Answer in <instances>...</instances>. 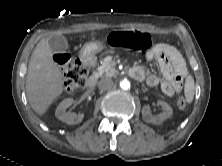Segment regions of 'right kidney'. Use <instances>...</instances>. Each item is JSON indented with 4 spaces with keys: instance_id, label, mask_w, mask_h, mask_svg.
Listing matches in <instances>:
<instances>
[{
    "instance_id": "ca27d5eb",
    "label": "right kidney",
    "mask_w": 222,
    "mask_h": 166,
    "mask_svg": "<svg viewBox=\"0 0 222 166\" xmlns=\"http://www.w3.org/2000/svg\"><path fill=\"white\" fill-rule=\"evenodd\" d=\"M73 103H74L73 98H66L58 105L55 111V116L59 120L69 125L78 124L82 122L84 118L83 113L75 114L71 112H66V109L69 108Z\"/></svg>"
}]
</instances>
